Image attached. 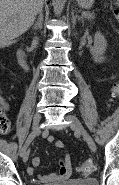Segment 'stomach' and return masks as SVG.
Masks as SVG:
<instances>
[{
	"label": "stomach",
	"instance_id": "stomach-1",
	"mask_svg": "<svg viewBox=\"0 0 119 185\" xmlns=\"http://www.w3.org/2000/svg\"><path fill=\"white\" fill-rule=\"evenodd\" d=\"M77 2L80 7L88 9L93 5L94 0H77Z\"/></svg>",
	"mask_w": 119,
	"mask_h": 185
}]
</instances>
